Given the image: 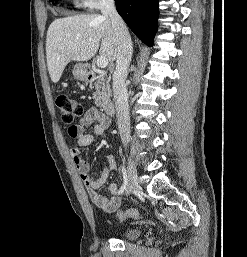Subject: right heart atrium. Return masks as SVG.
Wrapping results in <instances>:
<instances>
[{"label":"right heart atrium","instance_id":"right-heart-atrium-1","mask_svg":"<svg viewBox=\"0 0 247 257\" xmlns=\"http://www.w3.org/2000/svg\"><path fill=\"white\" fill-rule=\"evenodd\" d=\"M106 0H75L81 7L87 10H94L99 8Z\"/></svg>","mask_w":247,"mask_h":257}]
</instances>
